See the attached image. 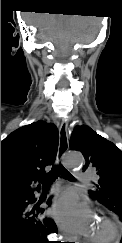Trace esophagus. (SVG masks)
<instances>
[{
  "instance_id": "obj_1",
  "label": "esophagus",
  "mask_w": 122,
  "mask_h": 243,
  "mask_svg": "<svg viewBox=\"0 0 122 243\" xmlns=\"http://www.w3.org/2000/svg\"><path fill=\"white\" fill-rule=\"evenodd\" d=\"M68 122L63 121L59 128V148L57 153V164H61L64 155L66 154L69 142H68ZM64 238L68 243H79L77 237L68 235L65 231L63 232Z\"/></svg>"
}]
</instances>
